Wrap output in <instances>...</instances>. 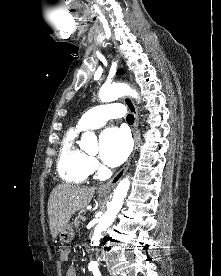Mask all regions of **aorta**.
<instances>
[{"mask_svg": "<svg viewBox=\"0 0 221 276\" xmlns=\"http://www.w3.org/2000/svg\"><path fill=\"white\" fill-rule=\"evenodd\" d=\"M124 95H130L134 98H138V93L131 89L128 85L118 83L108 86H102L99 91V99L102 102H110L122 97ZM96 136L93 132L87 131L82 134L81 143L84 146L95 142ZM130 187V180L128 177L122 179L114 190L113 198L111 202L107 204V211L100 217L99 223L95 228L92 241L94 245H98L102 238V233L114 222L116 215L122 208L124 199L128 193Z\"/></svg>", "mask_w": 221, "mask_h": 276, "instance_id": "762f6f07", "label": "aorta"}]
</instances>
